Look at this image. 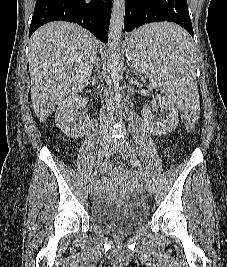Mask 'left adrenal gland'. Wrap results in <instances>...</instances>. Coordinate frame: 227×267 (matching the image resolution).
Masks as SVG:
<instances>
[{"label": "left adrenal gland", "mask_w": 227, "mask_h": 267, "mask_svg": "<svg viewBox=\"0 0 227 267\" xmlns=\"http://www.w3.org/2000/svg\"><path fill=\"white\" fill-rule=\"evenodd\" d=\"M131 72L133 75H137V72L134 69H132V67H131Z\"/></svg>", "instance_id": "obj_1"}]
</instances>
